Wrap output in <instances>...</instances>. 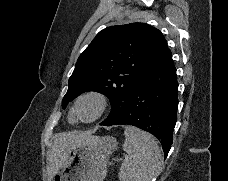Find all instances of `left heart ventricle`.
Returning a JSON list of instances; mask_svg holds the SVG:
<instances>
[{"instance_id": "1", "label": "left heart ventricle", "mask_w": 228, "mask_h": 181, "mask_svg": "<svg viewBox=\"0 0 228 181\" xmlns=\"http://www.w3.org/2000/svg\"><path fill=\"white\" fill-rule=\"evenodd\" d=\"M79 112L81 115H83L85 117L91 116L92 112H93L92 104L88 101H83L80 104V111Z\"/></svg>"}]
</instances>
